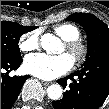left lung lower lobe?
Returning <instances> with one entry per match:
<instances>
[{
    "label": "left lung lower lobe",
    "mask_w": 109,
    "mask_h": 109,
    "mask_svg": "<svg viewBox=\"0 0 109 109\" xmlns=\"http://www.w3.org/2000/svg\"><path fill=\"white\" fill-rule=\"evenodd\" d=\"M68 79L73 81L69 85L70 89L77 87L80 90V99L69 103L63 96L58 101H52L54 109H98L109 96V57L85 65L75 73L59 79L58 83L66 88Z\"/></svg>",
    "instance_id": "0a47b994"
}]
</instances>
